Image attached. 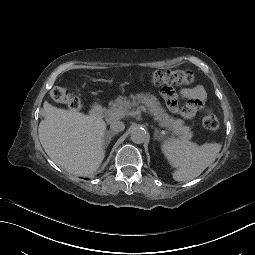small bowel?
Instances as JSON below:
<instances>
[{"instance_id": "small-bowel-1", "label": "small bowel", "mask_w": 255, "mask_h": 255, "mask_svg": "<svg viewBox=\"0 0 255 255\" xmlns=\"http://www.w3.org/2000/svg\"><path fill=\"white\" fill-rule=\"evenodd\" d=\"M164 94H171V90H164ZM182 97L188 99L187 104L181 110V115L185 118H192L203 107L207 94L202 86L193 88H183L180 91Z\"/></svg>"}]
</instances>
